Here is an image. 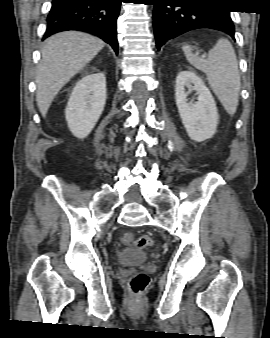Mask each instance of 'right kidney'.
<instances>
[{
    "label": "right kidney",
    "instance_id": "right-kidney-1",
    "mask_svg": "<svg viewBox=\"0 0 270 338\" xmlns=\"http://www.w3.org/2000/svg\"><path fill=\"white\" fill-rule=\"evenodd\" d=\"M106 97L103 73L86 75L76 83L65 109L68 127L75 137L89 135L104 110Z\"/></svg>",
    "mask_w": 270,
    "mask_h": 338
}]
</instances>
